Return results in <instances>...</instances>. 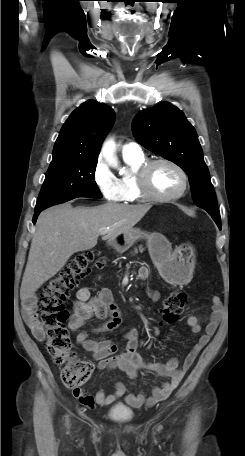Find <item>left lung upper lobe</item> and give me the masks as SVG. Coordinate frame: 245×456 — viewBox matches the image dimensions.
<instances>
[{
  "mask_svg": "<svg viewBox=\"0 0 245 456\" xmlns=\"http://www.w3.org/2000/svg\"><path fill=\"white\" fill-rule=\"evenodd\" d=\"M136 140L148 150L181 167L189 177L191 192L197 206L220 221L214 187L203 151L193 126L175 106L163 102L140 111L133 119Z\"/></svg>",
  "mask_w": 245,
  "mask_h": 456,
  "instance_id": "1",
  "label": "left lung upper lobe"
}]
</instances>
